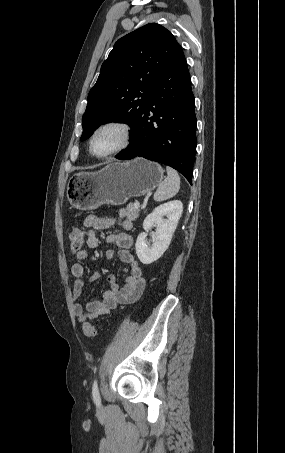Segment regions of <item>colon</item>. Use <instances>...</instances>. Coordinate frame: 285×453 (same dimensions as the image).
I'll return each mask as SVG.
<instances>
[{
	"instance_id": "1",
	"label": "colon",
	"mask_w": 285,
	"mask_h": 453,
	"mask_svg": "<svg viewBox=\"0 0 285 453\" xmlns=\"http://www.w3.org/2000/svg\"><path fill=\"white\" fill-rule=\"evenodd\" d=\"M86 236L80 228H73L69 233L70 250L73 254L77 255L84 248ZM83 334L87 340H92L97 334V327L95 325L85 323L83 325Z\"/></svg>"
}]
</instances>
